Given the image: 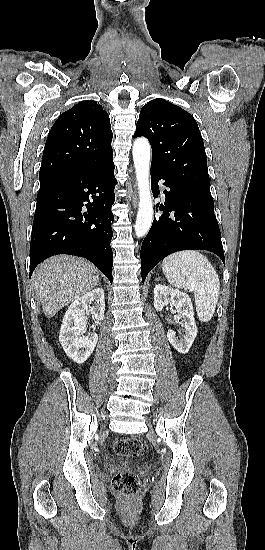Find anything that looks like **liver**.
Masks as SVG:
<instances>
[{
    "label": "liver",
    "mask_w": 265,
    "mask_h": 550,
    "mask_svg": "<svg viewBox=\"0 0 265 550\" xmlns=\"http://www.w3.org/2000/svg\"><path fill=\"white\" fill-rule=\"evenodd\" d=\"M99 270L89 261L57 255L41 263L34 272L36 296L47 318L99 284Z\"/></svg>",
    "instance_id": "1"
}]
</instances>
